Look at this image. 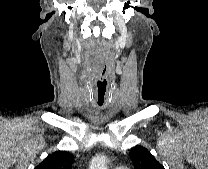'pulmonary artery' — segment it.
<instances>
[{"label":"pulmonary artery","mask_w":208,"mask_h":169,"mask_svg":"<svg viewBox=\"0 0 208 169\" xmlns=\"http://www.w3.org/2000/svg\"><path fill=\"white\" fill-rule=\"evenodd\" d=\"M114 169H128V167L127 166H116V167H114Z\"/></svg>","instance_id":"1"}]
</instances>
